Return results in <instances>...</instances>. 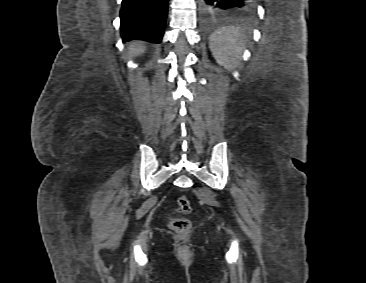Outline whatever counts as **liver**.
<instances>
[{
  "mask_svg": "<svg viewBox=\"0 0 366 283\" xmlns=\"http://www.w3.org/2000/svg\"><path fill=\"white\" fill-rule=\"evenodd\" d=\"M132 47H133V53L135 55H138L140 53H143L144 50H145V46L140 45V44H136V43H133Z\"/></svg>",
  "mask_w": 366,
  "mask_h": 283,
  "instance_id": "obj_1",
  "label": "liver"
}]
</instances>
